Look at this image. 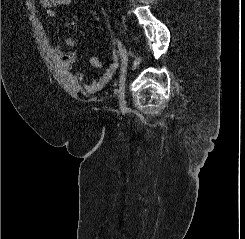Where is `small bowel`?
<instances>
[{"mask_svg":"<svg viewBox=\"0 0 245 239\" xmlns=\"http://www.w3.org/2000/svg\"><path fill=\"white\" fill-rule=\"evenodd\" d=\"M71 1L72 0H41V4L44 8L47 9L48 15L50 17H54L56 15L57 6L60 5L68 6L70 5ZM66 43L71 47H74L76 45V41L71 36H69L66 39ZM54 50L60 61L61 67L66 71H70L73 68V65L76 61L77 58L76 53L73 51L71 52L63 51L61 44H57ZM110 57H111V62L106 67V69H104L100 73V75L96 79L88 83H84L85 80L84 73L80 71H76L72 75L73 81L76 82L77 84L82 85L83 89L88 93H95L102 90L111 81V79L114 77V74L118 69L119 58L116 50L111 51ZM89 63L93 68H97V69L102 68V61L96 56H91L89 59Z\"/></svg>","mask_w":245,"mask_h":239,"instance_id":"c3829d8e","label":"small bowel"}]
</instances>
